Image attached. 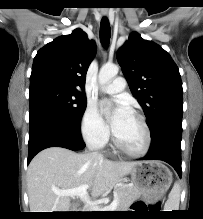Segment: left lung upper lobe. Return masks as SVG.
Here are the masks:
<instances>
[{"instance_id":"1","label":"left lung upper lobe","mask_w":203,"mask_h":219,"mask_svg":"<svg viewBox=\"0 0 203 219\" xmlns=\"http://www.w3.org/2000/svg\"><path fill=\"white\" fill-rule=\"evenodd\" d=\"M117 60L133 96L141 105L151 137L172 121H182V82L178 67L159 45L132 32Z\"/></svg>"}]
</instances>
